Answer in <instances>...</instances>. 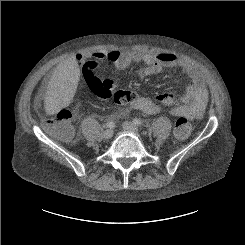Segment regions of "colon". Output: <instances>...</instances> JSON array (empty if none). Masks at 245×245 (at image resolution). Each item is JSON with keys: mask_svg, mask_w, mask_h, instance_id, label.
Returning a JSON list of instances; mask_svg holds the SVG:
<instances>
[{"mask_svg": "<svg viewBox=\"0 0 245 245\" xmlns=\"http://www.w3.org/2000/svg\"><path fill=\"white\" fill-rule=\"evenodd\" d=\"M82 72L84 75L90 76L99 71L98 63L94 60H80ZM90 86L92 90L105 98L110 99L114 104L130 103L134 99V94L130 90H108L106 84L91 78ZM157 101L165 106L178 105L177 98L174 93L165 92L157 95ZM71 112L67 108H62L58 113L44 122V128L49 134L61 139H70L73 134V128L69 124ZM191 123L185 116H179L176 120L173 131V143L175 145L187 139L191 133Z\"/></svg>", "mask_w": 245, "mask_h": 245, "instance_id": "obj_1", "label": "colon"}]
</instances>
